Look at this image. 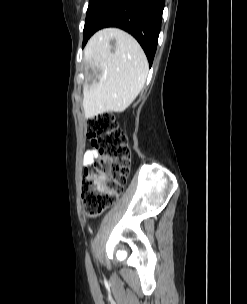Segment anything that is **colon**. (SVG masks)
<instances>
[{
    "instance_id": "5ec220e1",
    "label": "colon",
    "mask_w": 247,
    "mask_h": 304,
    "mask_svg": "<svg viewBox=\"0 0 247 304\" xmlns=\"http://www.w3.org/2000/svg\"><path fill=\"white\" fill-rule=\"evenodd\" d=\"M87 137L99 156L84 172L82 200L86 214L95 217L113 205L122 192L130 172L131 153L127 138L111 113L90 119Z\"/></svg>"
}]
</instances>
